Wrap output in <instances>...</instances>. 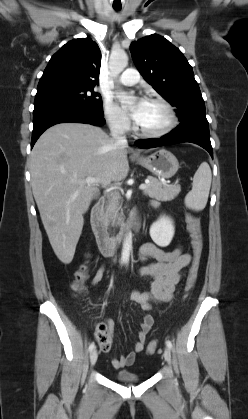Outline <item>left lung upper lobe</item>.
<instances>
[{
  "mask_svg": "<svg viewBox=\"0 0 248 419\" xmlns=\"http://www.w3.org/2000/svg\"><path fill=\"white\" fill-rule=\"evenodd\" d=\"M133 61L152 87L177 107L182 121L206 114L204 100L191 65L182 52L163 36L152 34L130 45Z\"/></svg>",
  "mask_w": 248,
  "mask_h": 419,
  "instance_id": "left-lung-upper-lobe-1",
  "label": "left lung upper lobe"
}]
</instances>
